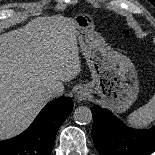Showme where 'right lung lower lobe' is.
I'll return each mask as SVG.
<instances>
[{"label":"right lung lower lobe","mask_w":155,"mask_h":155,"mask_svg":"<svg viewBox=\"0 0 155 155\" xmlns=\"http://www.w3.org/2000/svg\"><path fill=\"white\" fill-rule=\"evenodd\" d=\"M73 110V101L60 97L48 103L19 136L0 141V155H50L56 133Z\"/></svg>","instance_id":"obj_1"}]
</instances>
